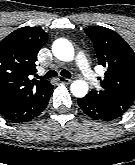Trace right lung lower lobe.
Wrapping results in <instances>:
<instances>
[{"mask_svg":"<svg viewBox=\"0 0 135 165\" xmlns=\"http://www.w3.org/2000/svg\"><path fill=\"white\" fill-rule=\"evenodd\" d=\"M53 87L45 95H21L0 102V115L12 122H26L37 117L47 106Z\"/></svg>","mask_w":135,"mask_h":165,"instance_id":"right-lung-lower-lobe-1","label":"right lung lower lobe"}]
</instances>
